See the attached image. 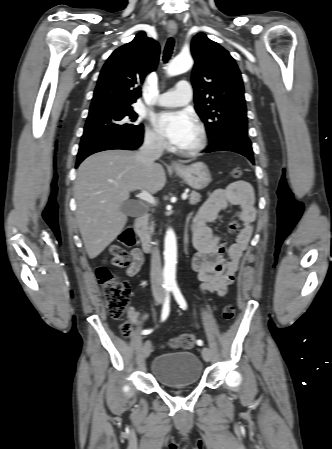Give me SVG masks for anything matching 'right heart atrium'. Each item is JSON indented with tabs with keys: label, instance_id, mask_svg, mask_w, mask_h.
I'll return each instance as SVG.
<instances>
[{
	"label": "right heart atrium",
	"instance_id": "d8ad5b80",
	"mask_svg": "<svg viewBox=\"0 0 332 449\" xmlns=\"http://www.w3.org/2000/svg\"><path fill=\"white\" fill-rule=\"evenodd\" d=\"M145 141L149 146L159 150H162L166 147V141L163 136L151 127H148L146 130Z\"/></svg>",
	"mask_w": 332,
	"mask_h": 449
}]
</instances>
